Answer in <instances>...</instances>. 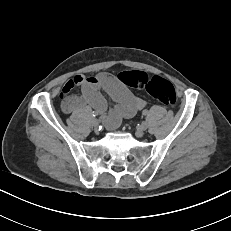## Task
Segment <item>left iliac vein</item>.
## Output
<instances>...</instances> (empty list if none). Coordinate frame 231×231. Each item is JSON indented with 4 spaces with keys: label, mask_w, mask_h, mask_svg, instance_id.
<instances>
[{
    "label": "left iliac vein",
    "mask_w": 231,
    "mask_h": 231,
    "mask_svg": "<svg viewBox=\"0 0 231 231\" xmlns=\"http://www.w3.org/2000/svg\"><path fill=\"white\" fill-rule=\"evenodd\" d=\"M148 128V123L147 122H142L140 125V131H145Z\"/></svg>",
    "instance_id": "left-iliac-vein-1"
}]
</instances>
